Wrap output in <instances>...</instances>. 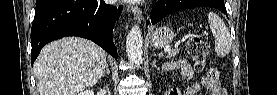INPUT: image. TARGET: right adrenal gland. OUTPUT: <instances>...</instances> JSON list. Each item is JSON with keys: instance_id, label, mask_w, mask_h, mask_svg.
Instances as JSON below:
<instances>
[{"instance_id": "1", "label": "right adrenal gland", "mask_w": 277, "mask_h": 95, "mask_svg": "<svg viewBox=\"0 0 277 95\" xmlns=\"http://www.w3.org/2000/svg\"><path fill=\"white\" fill-rule=\"evenodd\" d=\"M105 74H110V71H109V68H108V65L106 66V70H105V72L102 74V77H104L105 76Z\"/></svg>"}]
</instances>
